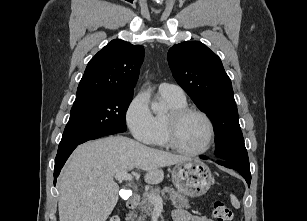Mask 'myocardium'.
<instances>
[{
	"mask_svg": "<svg viewBox=\"0 0 307 221\" xmlns=\"http://www.w3.org/2000/svg\"><path fill=\"white\" fill-rule=\"evenodd\" d=\"M189 114H197L201 116L208 126V139L204 148L196 151H191L182 148L176 140L177 130L180 122ZM215 125L211 117L201 109L195 107H182L173 109L166 117V145L177 153L187 156H200L207 153L213 146L215 141Z\"/></svg>",
	"mask_w": 307,
	"mask_h": 221,
	"instance_id": "1",
	"label": "myocardium"
}]
</instances>
